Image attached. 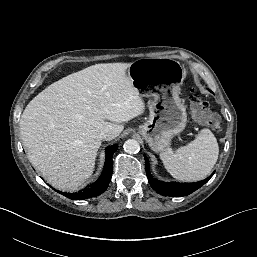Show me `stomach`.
Wrapping results in <instances>:
<instances>
[{
    "instance_id": "obj_1",
    "label": "stomach",
    "mask_w": 257,
    "mask_h": 257,
    "mask_svg": "<svg viewBox=\"0 0 257 257\" xmlns=\"http://www.w3.org/2000/svg\"><path fill=\"white\" fill-rule=\"evenodd\" d=\"M127 74L137 91L146 88L152 98L140 134L153 151L168 149L172 138L186 127V109L179 97L183 66L170 58H143L130 63Z\"/></svg>"
}]
</instances>
